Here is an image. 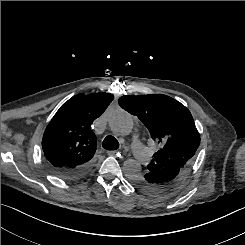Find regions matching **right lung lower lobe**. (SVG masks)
Returning <instances> with one entry per match:
<instances>
[{"instance_id":"right-lung-lower-lobe-1","label":"right lung lower lobe","mask_w":245,"mask_h":245,"mask_svg":"<svg viewBox=\"0 0 245 245\" xmlns=\"http://www.w3.org/2000/svg\"><path fill=\"white\" fill-rule=\"evenodd\" d=\"M50 170L56 174L57 176L66 179V180H76L80 179L92 170V161L88 164L80 166L78 168L70 169V168H53L49 166Z\"/></svg>"}]
</instances>
